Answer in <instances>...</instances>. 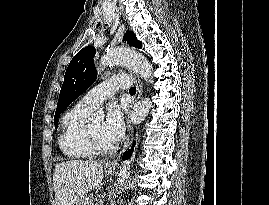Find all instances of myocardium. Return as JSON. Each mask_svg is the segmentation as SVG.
I'll list each match as a JSON object with an SVG mask.
<instances>
[{"mask_svg":"<svg viewBox=\"0 0 269 205\" xmlns=\"http://www.w3.org/2000/svg\"><path fill=\"white\" fill-rule=\"evenodd\" d=\"M85 138L91 153L94 155H100V156L109 155L116 150V146L114 145L111 147H103L101 144H99V142L90 132L88 127H86L85 129Z\"/></svg>","mask_w":269,"mask_h":205,"instance_id":"f54148a6","label":"myocardium"}]
</instances>
